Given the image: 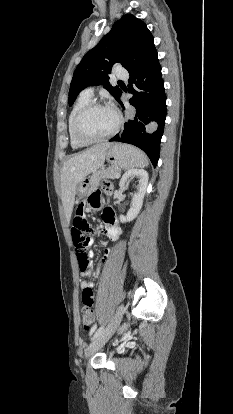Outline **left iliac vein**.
I'll list each match as a JSON object with an SVG mask.
<instances>
[{
    "label": "left iliac vein",
    "instance_id": "1",
    "mask_svg": "<svg viewBox=\"0 0 233 414\" xmlns=\"http://www.w3.org/2000/svg\"><path fill=\"white\" fill-rule=\"evenodd\" d=\"M124 306L121 305L118 310L116 311L112 321L107 326V328L99 335L97 336L92 343L88 346V348L85 351V358H89L92 356L95 352H97L99 349L103 347V345L111 338V336L116 331L123 313H124Z\"/></svg>",
    "mask_w": 233,
    "mask_h": 414
}]
</instances>
